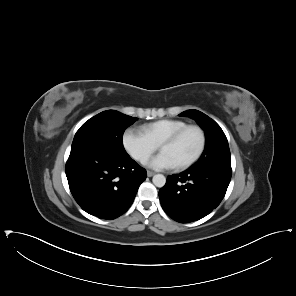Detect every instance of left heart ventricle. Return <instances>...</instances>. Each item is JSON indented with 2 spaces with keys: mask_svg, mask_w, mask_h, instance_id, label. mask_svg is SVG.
<instances>
[{
  "mask_svg": "<svg viewBox=\"0 0 296 296\" xmlns=\"http://www.w3.org/2000/svg\"><path fill=\"white\" fill-rule=\"evenodd\" d=\"M200 144V134L196 130L188 131L177 143L168 147L166 153L174 163L190 158Z\"/></svg>",
  "mask_w": 296,
  "mask_h": 296,
  "instance_id": "left-heart-ventricle-1",
  "label": "left heart ventricle"
}]
</instances>
